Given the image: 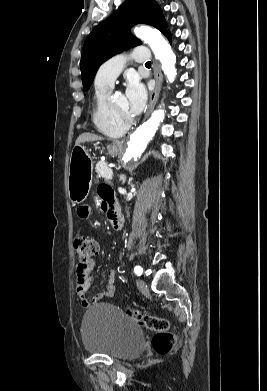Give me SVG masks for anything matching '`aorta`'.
<instances>
[{
    "label": "aorta",
    "mask_w": 267,
    "mask_h": 391,
    "mask_svg": "<svg viewBox=\"0 0 267 391\" xmlns=\"http://www.w3.org/2000/svg\"><path fill=\"white\" fill-rule=\"evenodd\" d=\"M134 32L138 38L150 46L156 59L160 61L161 68L168 81L170 83L173 82L177 75L175 68L176 56L166 39L159 31L147 26L136 28ZM163 120V110H156L152 113L151 117L132 134L126 152L123 155L125 162L141 156Z\"/></svg>",
    "instance_id": "1"
}]
</instances>
